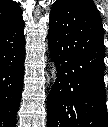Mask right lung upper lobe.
Wrapping results in <instances>:
<instances>
[{"label": "right lung upper lobe", "instance_id": "right-lung-upper-lobe-1", "mask_svg": "<svg viewBox=\"0 0 108 127\" xmlns=\"http://www.w3.org/2000/svg\"><path fill=\"white\" fill-rule=\"evenodd\" d=\"M22 19V10L12 0H0V25L13 23Z\"/></svg>", "mask_w": 108, "mask_h": 127}]
</instances>
